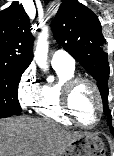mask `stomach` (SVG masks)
I'll return each mask as SVG.
<instances>
[{
    "label": "stomach",
    "instance_id": "0dacf381",
    "mask_svg": "<svg viewBox=\"0 0 114 156\" xmlns=\"http://www.w3.org/2000/svg\"><path fill=\"white\" fill-rule=\"evenodd\" d=\"M62 156H106V148L98 135L83 133L69 143Z\"/></svg>",
    "mask_w": 114,
    "mask_h": 156
}]
</instances>
